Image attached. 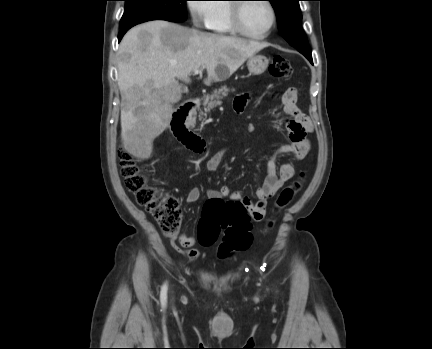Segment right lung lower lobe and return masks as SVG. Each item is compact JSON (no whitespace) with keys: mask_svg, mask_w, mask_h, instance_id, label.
<instances>
[{"mask_svg":"<svg viewBox=\"0 0 432 349\" xmlns=\"http://www.w3.org/2000/svg\"><path fill=\"white\" fill-rule=\"evenodd\" d=\"M131 27H128V28H124V29H121V31H120V33H119V35H118V40H119V42H120V40L122 39V37H123V35L130 29Z\"/></svg>","mask_w":432,"mask_h":349,"instance_id":"1","label":"right lung lower lobe"}]
</instances>
